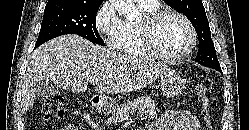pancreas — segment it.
Returning a JSON list of instances; mask_svg holds the SVG:
<instances>
[{"label":"pancreas","mask_w":249,"mask_h":130,"mask_svg":"<svg viewBox=\"0 0 249 130\" xmlns=\"http://www.w3.org/2000/svg\"><path fill=\"white\" fill-rule=\"evenodd\" d=\"M158 108L150 96H142L115 107L106 120L107 125H117L118 122L136 114L139 118L151 119L157 116Z\"/></svg>","instance_id":"obj_1"}]
</instances>
